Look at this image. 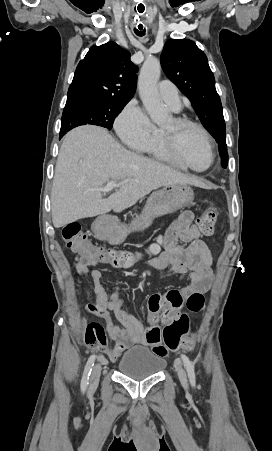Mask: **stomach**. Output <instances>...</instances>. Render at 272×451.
Segmentation results:
<instances>
[{"label": "stomach", "mask_w": 272, "mask_h": 451, "mask_svg": "<svg viewBox=\"0 0 272 451\" xmlns=\"http://www.w3.org/2000/svg\"><path fill=\"white\" fill-rule=\"evenodd\" d=\"M193 200L194 192L187 184H169V186H164L162 190H157V192L151 194L141 216H137L132 224H129V226L119 224V226L114 227L111 235L108 237V241L112 245L122 243L130 231L145 229V227L151 226L154 218L172 214L176 210L191 206Z\"/></svg>", "instance_id": "obj_1"}]
</instances>
